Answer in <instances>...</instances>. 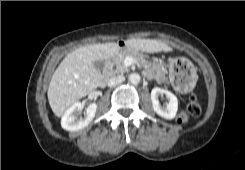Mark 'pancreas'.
Here are the masks:
<instances>
[{
	"label": "pancreas",
	"mask_w": 245,
	"mask_h": 170,
	"mask_svg": "<svg viewBox=\"0 0 245 170\" xmlns=\"http://www.w3.org/2000/svg\"><path fill=\"white\" fill-rule=\"evenodd\" d=\"M126 57H131L138 64L142 65L146 69L148 77L154 78L158 84L168 83L165 70L161 67L160 64L157 62L148 61L143 55L131 50L122 51L115 57L114 74H124L129 71L128 66L124 64Z\"/></svg>",
	"instance_id": "pancreas-1"
}]
</instances>
